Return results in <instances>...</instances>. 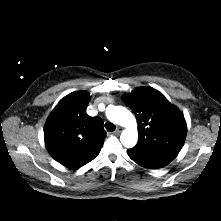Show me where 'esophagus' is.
<instances>
[{"label": "esophagus", "instance_id": "1", "mask_svg": "<svg viewBox=\"0 0 221 221\" xmlns=\"http://www.w3.org/2000/svg\"><path fill=\"white\" fill-rule=\"evenodd\" d=\"M123 128L122 127H117L116 130L114 131L115 134H120L122 132Z\"/></svg>", "mask_w": 221, "mask_h": 221}]
</instances>
